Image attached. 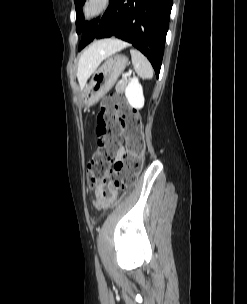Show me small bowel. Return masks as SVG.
I'll use <instances>...</instances> for the list:
<instances>
[{
	"instance_id": "1",
	"label": "small bowel",
	"mask_w": 247,
	"mask_h": 304,
	"mask_svg": "<svg viewBox=\"0 0 247 304\" xmlns=\"http://www.w3.org/2000/svg\"><path fill=\"white\" fill-rule=\"evenodd\" d=\"M123 154H124V150H120L117 154V159H121Z\"/></svg>"
}]
</instances>
